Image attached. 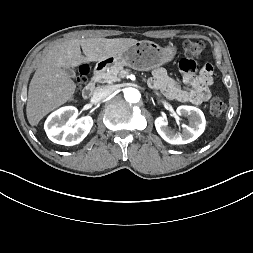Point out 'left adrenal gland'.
<instances>
[{"instance_id": "a2214340", "label": "left adrenal gland", "mask_w": 253, "mask_h": 253, "mask_svg": "<svg viewBox=\"0 0 253 253\" xmlns=\"http://www.w3.org/2000/svg\"><path fill=\"white\" fill-rule=\"evenodd\" d=\"M155 94H156L157 96H159V94H158V93H156V92H155Z\"/></svg>"}]
</instances>
